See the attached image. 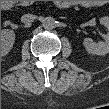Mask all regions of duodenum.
I'll return each instance as SVG.
<instances>
[{"label": "duodenum", "mask_w": 109, "mask_h": 109, "mask_svg": "<svg viewBox=\"0 0 109 109\" xmlns=\"http://www.w3.org/2000/svg\"><path fill=\"white\" fill-rule=\"evenodd\" d=\"M57 4H58V6L61 7V8H67V7H69V6L72 5V3L69 2V1H57ZM2 8H3L4 10H9V9L11 8V3H10L9 1H5V2L2 4Z\"/></svg>", "instance_id": "obj_1"}]
</instances>
